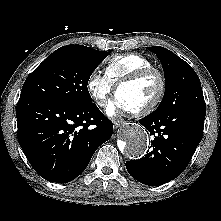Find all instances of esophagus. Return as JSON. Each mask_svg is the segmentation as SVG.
I'll use <instances>...</instances> for the list:
<instances>
[{"instance_id":"esophagus-1","label":"esophagus","mask_w":221,"mask_h":221,"mask_svg":"<svg viewBox=\"0 0 221 221\" xmlns=\"http://www.w3.org/2000/svg\"><path fill=\"white\" fill-rule=\"evenodd\" d=\"M123 123H124V121L122 119H114L113 120V124H114L115 128H119Z\"/></svg>"}]
</instances>
